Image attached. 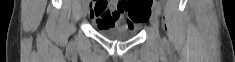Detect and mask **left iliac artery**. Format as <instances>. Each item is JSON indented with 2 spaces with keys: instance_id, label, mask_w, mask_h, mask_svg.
<instances>
[{
  "instance_id": "1",
  "label": "left iliac artery",
  "mask_w": 235,
  "mask_h": 62,
  "mask_svg": "<svg viewBox=\"0 0 235 62\" xmlns=\"http://www.w3.org/2000/svg\"><path fill=\"white\" fill-rule=\"evenodd\" d=\"M154 10H155V12H156L158 15L161 14V6H160L159 3H155V4H154ZM164 42H165V43L167 42L166 39H164Z\"/></svg>"
}]
</instances>
